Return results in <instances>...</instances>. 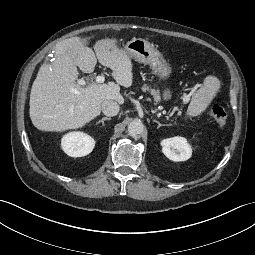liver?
Listing matches in <instances>:
<instances>
[{"mask_svg":"<svg viewBox=\"0 0 255 255\" xmlns=\"http://www.w3.org/2000/svg\"><path fill=\"white\" fill-rule=\"evenodd\" d=\"M117 42L116 38L97 40L95 52L77 36L54 46L53 61L47 58L31 88L29 113L37 129L59 132L81 128L100 115L103 101L124 103L120 86L132 85L133 64ZM97 60L112 70L116 83H91L86 87L75 84L77 67L83 73H92Z\"/></svg>","mask_w":255,"mask_h":255,"instance_id":"liver-1","label":"liver"}]
</instances>
